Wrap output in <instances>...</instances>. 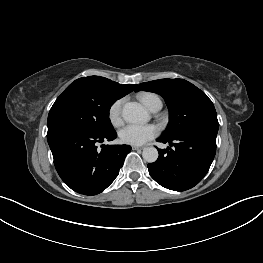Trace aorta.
<instances>
[{"instance_id":"obj_1","label":"aorta","mask_w":263,"mask_h":263,"mask_svg":"<svg viewBox=\"0 0 263 263\" xmlns=\"http://www.w3.org/2000/svg\"><path fill=\"white\" fill-rule=\"evenodd\" d=\"M122 117L129 123H142L149 120V115L143 106L137 102H128L122 109ZM158 151L155 147L143 149V159L148 163H153L158 159Z\"/></svg>"}]
</instances>
